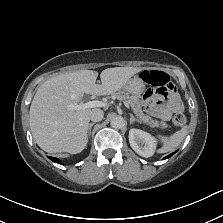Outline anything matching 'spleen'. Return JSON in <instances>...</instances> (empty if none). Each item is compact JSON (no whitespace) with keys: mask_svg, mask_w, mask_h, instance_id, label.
<instances>
[{"mask_svg":"<svg viewBox=\"0 0 223 223\" xmlns=\"http://www.w3.org/2000/svg\"><path fill=\"white\" fill-rule=\"evenodd\" d=\"M186 134V129H182L181 131H178L174 134V136L172 137V139L170 140L169 143H167V145L161 149L159 152L160 153H166L169 151L174 150L183 140V138L185 137Z\"/></svg>","mask_w":223,"mask_h":223,"instance_id":"spleen-1","label":"spleen"}]
</instances>
